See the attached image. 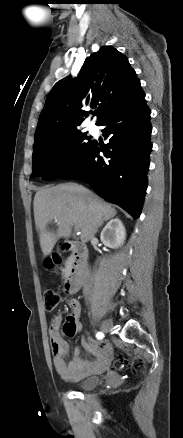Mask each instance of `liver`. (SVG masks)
Returning a JSON list of instances; mask_svg holds the SVG:
<instances>
[{
    "label": "liver",
    "instance_id": "1",
    "mask_svg": "<svg viewBox=\"0 0 183 438\" xmlns=\"http://www.w3.org/2000/svg\"><path fill=\"white\" fill-rule=\"evenodd\" d=\"M33 205L40 247L45 256L51 253L59 238L71 236L72 226L81 231V240L88 242L104 221L116 215L110 204L76 183L38 190ZM52 220L58 227L56 234L46 228Z\"/></svg>",
    "mask_w": 183,
    "mask_h": 438
}]
</instances>
